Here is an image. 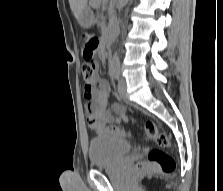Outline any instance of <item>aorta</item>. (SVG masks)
<instances>
[{"instance_id":"1","label":"aorta","mask_w":223,"mask_h":191,"mask_svg":"<svg viewBox=\"0 0 223 191\" xmlns=\"http://www.w3.org/2000/svg\"><path fill=\"white\" fill-rule=\"evenodd\" d=\"M123 2V6H125L127 3H128V0H122ZM112 63L113 64H119V57H118V54L115 53L112 57Z\"/></svg>"}]
</instances>
